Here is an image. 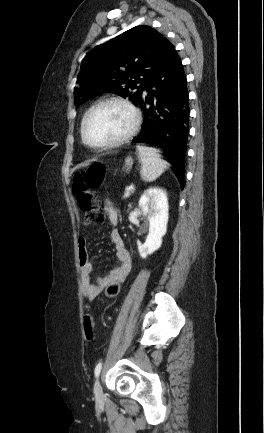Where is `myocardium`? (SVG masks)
Listing matches in <instances>:
<instances>
[{
    "label": "myocardium",
    "instance_id": "obj_1",
    "mask_svg": "<svg viewBox=\"0 0 264 433\" xmlns=\"http://www.w3.org/2000/svg\"><path fill=\"white\" fill-rule=\"evenodd\" d=\"M107 104H118L121 105L123 107H125L131 114L132 116V123L131 126L129 127V129L120 137L111 140V141H107V142H103V143H99V144H94L91 141H89V139L87 138L86 135V124L88 119L90 118V116L100 107L107 105ZM140 122H141V114L139 112V110L137 109V107L130 102L129 100L125 99V98H121V97H109V98H105V99H101L99 101H97L93 106H91L89 108V110L85 113L82 122H81V137L83 142L92 147V148H112V147H117L119 145H122L123 143L127 142L130 138L133 137V135L137 132L139 126H140Z\"/></svg>",
    "mask_w": 264,
    "mask_h": 433
}]
</instances>
